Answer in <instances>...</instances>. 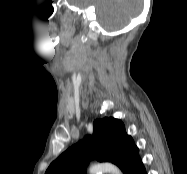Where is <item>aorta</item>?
I'll list each match as a JSON object with an SVG mask.
<instances>
[{
	"label": "aorta",
	"mask_w": 187,
	"mask_h": 174,
	"mask_svg": "<svg viewBox=\"0 0 187 174\" xmlns=\"http://www.w3.org/2000/svg\"><path fill=\"white\" fill-rule=\"evenodd\" d=\"M122 174L120 169L112 163H100L89 168V174Z\"/></svg>",
	"instance_id": "1"
}]
</instances>
